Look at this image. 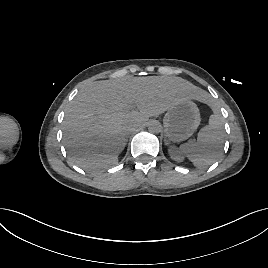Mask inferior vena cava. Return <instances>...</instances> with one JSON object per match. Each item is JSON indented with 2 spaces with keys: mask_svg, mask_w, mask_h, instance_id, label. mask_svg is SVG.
<instances>
[{
  "mask_svg": "<svg viewBox=\"0 0 268 268\" xmlns=\"http://www.w3.org/2000/svg\"><path fill=\"white\" fill-rule=\"evenodd\" d=\"M135 128H136V127L130 125V126L127 127L126 131H127V133H129V132L134 131Z\"/></svg>",
  "mask_w": 268,
  "mask_h": 268,
  "instance_id": "1",
  "label": "inferior vena cava"
}]
</instances>
